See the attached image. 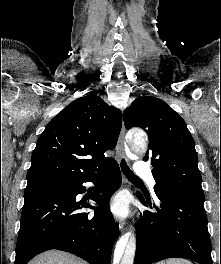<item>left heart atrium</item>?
<instances>
[{"mask_svg":"<svg viewBox=\"0 0 221 264\" xmlns=\"http://www.w3.org/2000/svg\"><path fill=\"white\" fill-rule=\"evenodd\" d=\"M111 211L118 217H125L128 213V200L124 193H118L110 201Z\"/></svg>","mask_w":221,"mask_h":264,"instance_id":"39dd6f15","label":"left heart atrium"}]
</instances>
